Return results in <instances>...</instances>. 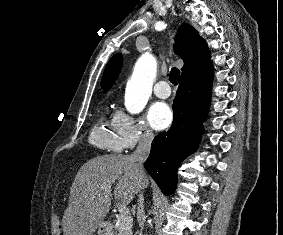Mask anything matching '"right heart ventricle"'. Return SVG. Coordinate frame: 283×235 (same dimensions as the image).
Here are the masks:
<instances>
[{
	"label": "right heart ventricle",
	"instance_id": "right-heart-ventricle-1",
	"mask_svg": "<svg viewBox=\"0 0 283 235\" xmlns=\"http://www.w3.org/2000/svg\"><path fill=\"white\" fill-rule=\"evenodd\" d=\"M89 141L100 149L119 153L123 149V141L115 123V116L104 114L93 126Z\"/></svg>",
	"mask_w": 283,
	"mask_h": 235
}]
</instances>
